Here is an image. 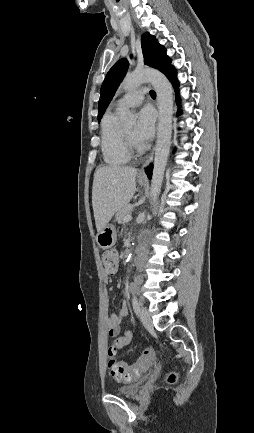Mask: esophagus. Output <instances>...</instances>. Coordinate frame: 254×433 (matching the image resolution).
<instances>
[{"instance_id": "esophagus-1", "label": "esophagus", "mask_w": 254, "mask_h": 433, "mask_svg": "<svg viewBox=\"0 0 254 433\" xmlns=\"http://www.w3.org/2000/svg\"><path fill=\"white\" fill-rule=\"evenodd\" d=\"M153 153H154V148H153V149L151 150V152L149 153V156H148L147 160H146L145 163H144V167H145V166H148V165L150 164V162H151V160H152V157H153ZM139 177H140V178H146V174H145V172H144L143 169L140 171V173H139Z\"/></svg>"}]
</instances>
